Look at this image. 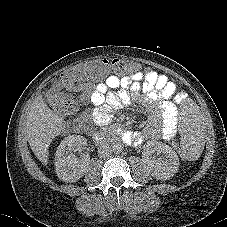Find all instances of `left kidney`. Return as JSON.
I'll list each match as a JSON object with an SVG mask.
<instances>
[{"mask_svg": "<svg viewBox=\"0 0 227 227\" xmlns=\"http://www.w3.org/2000/svg\"><path fill=\"white\" fill-rule=\"evenodd\" d=\"M154 152H157L159 155L162 154V156L155 159L152 157V153ZM143 157L152 176L157 179L167 180L178 171L179 158L177 153L162 142L148 141L143 152Z\"/></svg>", "mask_w": 227, "mask_h": 227, "instance_id": "obj_1", "label": "left kidney"}]
</instances>
